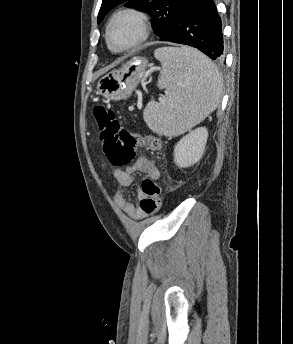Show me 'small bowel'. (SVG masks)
Masks as SVG:
<instances>
[{
    "instance_id": "obj_1",
    "label": "small bowel",
    "mask_w": 293,
    "mask_h": 344,
    "mask_svg": "<svg viewBox=\"0 0 293 344\" xmlns=\"http://www.w3.org/2000/svg\"><path fill=\"white\" fill-rule=\"evenodd\" d=\"M136 172L143 173L154 180L160 178V171L156 164L145 156H140L132 166L114 171V177L122 188H127L132 185ZM137 198V202H132L124 196H119L118 205L128 216L140 220L146 216L140 209V201L144 198L141 190L137 191Z\"/></svg>"
}]
</instances>
